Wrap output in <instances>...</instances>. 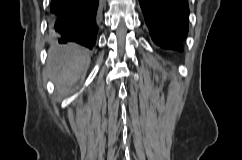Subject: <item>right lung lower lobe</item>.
<instances>
[{
    "label": "right lung lower lobe",
    "mask_w": 242,
    "mask_h": 160,
    "mask_svg": "<svg viewBox=\"0 0 242 160\" xmlns=\"http://www.w3.org/2000/svg\"><path fill=\"white\" fill-rule=\"evenodd\" d=\"M103 0H51L50 33L59 43L76 42L89 49L95 44Z\"/></svg>",
    "instance_id": "98d812e1"
}]
</instances>
